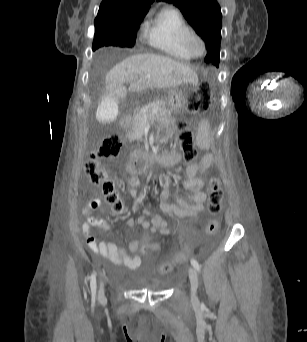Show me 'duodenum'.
Here are the masks:
<instances>
[{"label":"duodenum","instance_id":"duodenum-1","mask_svg":"<svg viewBox=\"0 0 307 342\" xmlns=\"http://www.w3.org/2000/svg\"><path fill=\"white\" fill-rule=\"evenodd\" d=\"M121 124L123 128H128L129 118L126 116L122 118ZM170 154V153H169ZM168 155H159L157 152L146 151L141 148H131L129 151L130 159L141 160L144 164H156V165H166L171 166L173 164V159Z\"/></svg>","mask_w":307,"mask_h":342}]
</instances>
